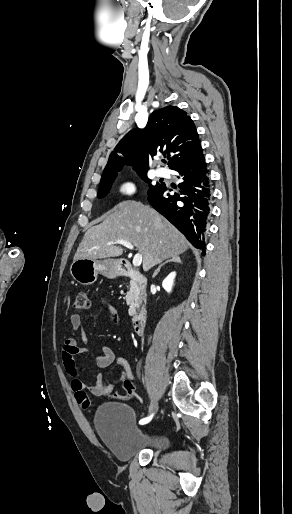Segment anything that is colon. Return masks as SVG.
Returning <instances> with one entry per match:
<instances>
[{"instance_id":"5ec220e1","label":"colon","mask_w":292,"mask_h":514,"mask_svg":"<svg viewBox=\"0 0 292 514\" xmlns=\"http://www.w3.org/2000/svg\"><path fill=\"white\" fill-rule=\"evenodd\" d=\"M89 295L86 291H80L76 295L74 309L77 311H82L89 308ZM121 391L124 395H131L134 391V388L131 384H124L121 388Z\"/></svg>"}]
</instances>
